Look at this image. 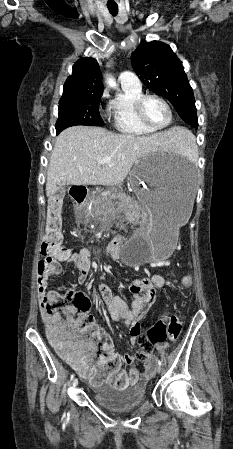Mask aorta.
I'll return each instance as SVG.
<instances>
[{
	"mask_svg": "<svg viewBox=\"0 0 233 449\" xmlns=\"http://www.w3.org/2000/svg\"><path fill=\"white\" fill-rule=\"evenodd\" d=\"M107 84H108L110 87H115V86H116V82H115L114 79L111 78V77H108V78H107Z\"/></svg>",
	"mask_w": 233,
	"mask_h": 449,
	"instance_id": "obj_1",
	"label": "aorta"
}]
</instances>
